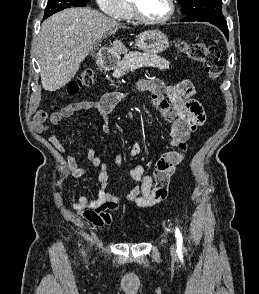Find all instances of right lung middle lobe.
Here are the masks:
<instances>
[{
  "mask_svg": "<svg viewBox=\"0 0 259 294\" xmlns=\"http://www.w3.org/2000/svg\"><path fill=\"white\" fill-rule=\"evenodd\" d=\"M90 0H48L44 19L52 14L70 7H84Z\"/></svg>",
  "mask_w": 259,
  "mask_h": 294,
  "instance_id": "1",
  "label": "right lung middle lobe"
}]
</instances>
